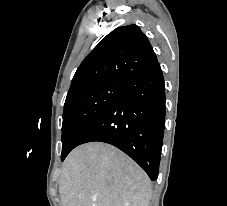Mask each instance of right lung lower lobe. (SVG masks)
<instances>
[{
  "label": "right lung lower lobe",
  "instance_id": "98d812e1",
  "mask_svg": "<svg viewBox=\"0 0 227 206\" xmlns=\"http://www.w3.org/2000/svg\"><path fill=\"white\" fill-rule=\"evenodd\" d=\"M165 125V86L159 63L125 82L123 93L91 124L77 146L100 141L114 145L148 174L159 173Z\"/></svg>",
  "mask_w": 227,
  "mask_h": 206
}]
</instances>
